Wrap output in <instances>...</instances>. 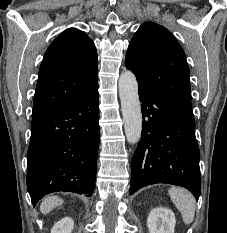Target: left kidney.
Segmentation results:
<instances>
[{
	"mask_svg": "<svg viewBox=\"0 0 227 233\" xmlns=\"http://www.w3.org/2000/svg\"><path fill=\"white\" fill-rule=\"evenodd\" d=\"M175 224V215L168 208H155L147 218L149 233H174Z\"/></svg>",
	"mask_w": 227,
	"mask_h": 233,
	"instance_id": "obj_1",
	"label": "left kidney"
}]
</instances>
